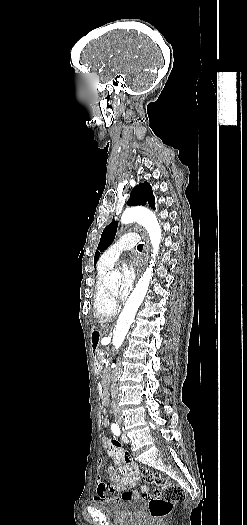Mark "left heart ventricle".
Here are the masks:
<instances>
[{"instance_id":"1","label":"left heart ventricle","mask_w":247,"mask_h":525,"mask_svg":"<svg viewBox=\"0 0 247 525\" xmlns=\"http://www.w3.org/2000/svg\"><path fill=\"white\" fill-rule=\"evenodd\" d=\"M116 270L120 271L122 273L123 270H135L138 271L139 269L132 263L130 260V253L126 252L124 255L120 257L118 262L115 264ZM119 282L118 281H112L108 283L109 290L111 292L117 293L119 289Z\"/></svg>"}]
</instances>
